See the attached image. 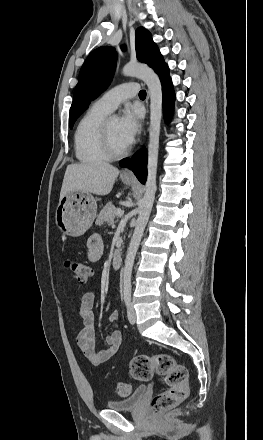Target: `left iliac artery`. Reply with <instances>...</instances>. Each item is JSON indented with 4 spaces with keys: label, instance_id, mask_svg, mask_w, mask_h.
<instances>
[{
    "label": "left iliac artery",
    "instance_id": "44dca946",
    "mask_svg": "<svg viewBox=\"0 0 263 440\" xmlns=\"http://www.w3.org/2000/svg\"><path fill=\"white\" fill-rule=\"evenodd\" d=\"M123 294H124L125 304L128 306L130 304V301H131V288L130 287H125L124 291H123Z\"/></svg>",
    "mask_w": 263,
    "mask_h": 440
}]
</instances>
